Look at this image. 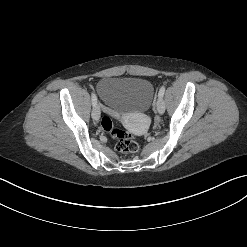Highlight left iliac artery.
<instances>
[{"mask_svg":"<svg viewBox=\"0 0 247 247\" xmlns=\"http://www.w3.org/2000/svg\"><path fill=\"white\" fill-rule=\"evenodd\" d=\"M165 86H162L159 90L158 97L162 98L165 92Z\"/></svg>","mask_w":247,"mask_h":247,"instance_id":"1","label":"left iliac artery"}]
</instances>
